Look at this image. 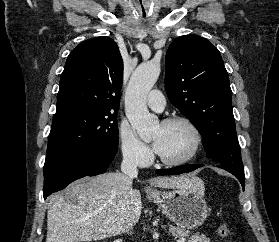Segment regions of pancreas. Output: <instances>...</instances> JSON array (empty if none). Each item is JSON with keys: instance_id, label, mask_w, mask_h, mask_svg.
<instances>
[{"instance_id": "pancreas-1", "label": "pancreas", "mask_w": 279, "mask_h": 242, "mask_svg": "<svg viewBox=\"0 0 279 242\" xmlns=\"http://www.w3.org/2000/svg\"><path fill=\"white\" fill-rule=\"evenodd\" d=\"M169 230L172 233V235L176 238L187 237V242H210V239L207 238L205 235H200L199 233H196L189 237L190 231H186L185 229L175 227L173 225H169Z\"/></svg>"}]
</instances>
